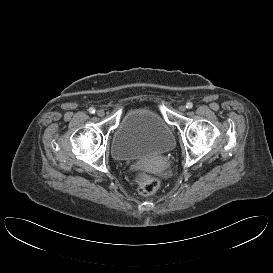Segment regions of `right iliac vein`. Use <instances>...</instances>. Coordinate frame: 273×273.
I'll use <instances>...</instances> for the list:
<instances>
[{"instance_id": "63e3f726", "label": "right iliac vein", "mask_w": 273, "mask_h": 273, "mask_svg": "<svg viewBox=\"0 0 273 273\" xmlns=\"http://www.w3.org/2000/svg\"><path fill=\"white\" fill-rule=\"evenodd\" d=\"M97 115H98L99 117H103V116L105 115L104 110L99 109V110L97 111Z\"/></svg>"}]
</instances>
